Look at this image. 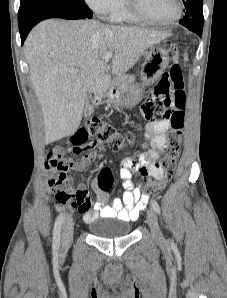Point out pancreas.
<instances>
[{"label":"pancreas","mask_w":227,"mask_h":298,"mask_svg":"<svg viewBox=\"0 0 227 298\" xmlns=\"http://www.w3.org/2000/svg\"><path fill=\"white\" fill-rule=\"evenodd\" d=\"M134 75H120L114 78L112 87H115L119 92H125L134 83Z\"/></svg>","instance_id":"obj_1"}]
</instances>
